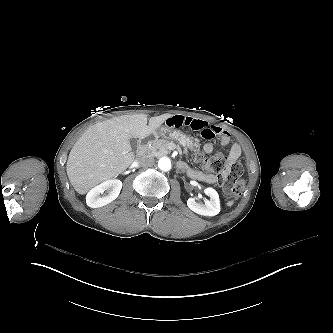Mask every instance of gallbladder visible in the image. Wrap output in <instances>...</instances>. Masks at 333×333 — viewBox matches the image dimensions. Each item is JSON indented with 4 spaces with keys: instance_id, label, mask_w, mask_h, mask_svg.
Instances as JSON below:
<instances>
[{
    "instance_id": "1",
    "label": "gallbladder",
    "mask_w": 333,
    "mask_h": 333,
    "mask_svg": "<svg viewBox=\"0 0 333 333\" xmlns=\"http://www.w3.org/2000/svg\"><path fill=\"white\" fill-rule=\"evenodd\" d=\"M130 145H131L132 151L136 152L138 149V142L135 138L130 139Z\"/></svg>"
}]
</instances>
